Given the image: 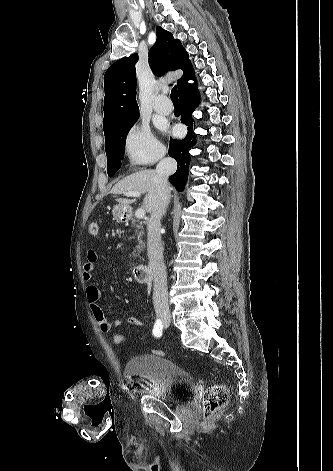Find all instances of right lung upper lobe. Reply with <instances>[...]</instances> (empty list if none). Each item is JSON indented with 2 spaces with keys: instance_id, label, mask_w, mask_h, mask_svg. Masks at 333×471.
Returning <instances> with one entry per match:
<instances>
[{
  "instance_id": "obj_1",
  "label": "right lung upper lobe",
  "mask_w": 333,
  "mask_h": 471,
  "mask_svg": "<svg viewBox=\"0 0 333 471\" xmlns=\"http://www.w3.org/2000/svg\"><path fill=\"white\" fill-rule=\"evenodd\" d=\"M157 40L149 51V65L157 76L167 71L181 69L178 79L179 95L194 78V71L187 51L178 39L164 30L156 28ZM138 54L122 58L112 64L104 75V132L120 122L139 115L136 102V70Z\"/></svg>"
}]
</instances>
